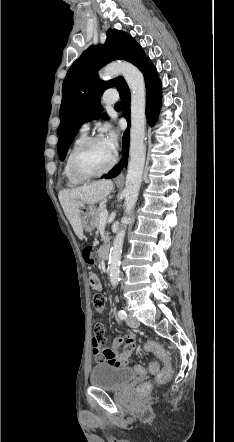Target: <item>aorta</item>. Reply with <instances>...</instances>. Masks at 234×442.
<instances>
[{
  "mask_svg": "<svg viewBox=\"0 0 234 442\" xmlns=\"http://www.w3.org/2000/svg\"><path fill=\"white\" fill-rule=\"evenodd\" d=\"M122 74L131 91V128L129 163L125 182V216L122 218L120 230L117 232L109 254V275L112 286H116L120 278V259L126 234L128 216L131 214L139 195L142 174L145 164L146 145V88L141 71L128 62L111 63L100 72V78L106 80Z\"/></svg>",
  "mask_w": 234,
  "mask_h": 442,
  "instance_id": "aorta-1",
  "label": "aorta"
}]
</instances>
